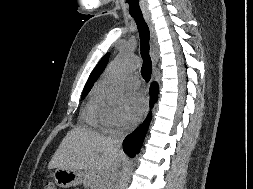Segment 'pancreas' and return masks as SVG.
<instances>
[{"mask_svg":"<svg viewBox=\"0 0 253 189\" xmlns=\"http://www.w3.org/2000/svg\"><path fill=\"white\" fill-rule=\"evenodd\" d=\"M82 182L88 189H104V175L95 169H85Z\"/></svg>","mask_w":253,"mask_h":189,"instance_id":"cf45deb5","label":"pancreas"}]
</instances>
